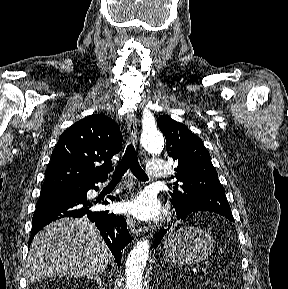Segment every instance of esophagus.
<instances>
[{
    "instance_id": "esophagus-1",
    "label": "esophagus",
    "mask_w": 288,
    "mask_h": 289,
    "mask_svg": "<svg viewBox=\"0 0 288 289\" xmlns=\"http://www.w3.org/2000/svg\"><path fill=\"white\" fill-rule=\"evenodd\" d=\"M127 130L129 140L134 145H136L138 142V132H137V120L134 113L127 114ZM126 220L130 232L134 235L139 236L141 233V227L137 224V222L130 216H127Z\"/></svg>"
}]
</instances>
